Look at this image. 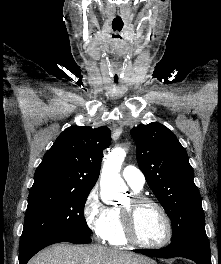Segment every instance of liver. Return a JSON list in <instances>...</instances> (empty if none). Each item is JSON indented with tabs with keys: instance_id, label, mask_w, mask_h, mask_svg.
<instances>
[{
	"instance_id": "liver-1",
	"label": "liver",
	"mask_w": 221,
	"mask_h": 264,
	"mask_svg": "<svg viewBox=\"0 0 221 264\" xmlns=\"http://www.w3.org/2000/svg\"><path fill=\"white\" fill-rule=\"evenodd\" d=\"M150 262L151 260L141 255L101 245L58 244L44 249L28 264H150Z\"/></svg>"
}]
</instances>
